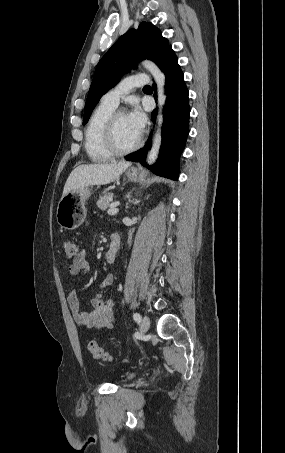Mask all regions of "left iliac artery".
I'll return each instance as SVG.
<instances>
[{
  "mask_svg": "<svg viewBox=\"0 0 285 453\" xmlns=\"http://www.w3.org/2000/svg\"><path fill=\"white\" fill-rule=\"evenodd\" d=\"M133 319L136 321V322H140L141 321V316L139 313H134L133 314Z\"/></svg>",
  "mask_w": 285,
  "mask_h": 453,
  "instance_id": "44dca946",
  "label": "left iliac artery"
}]
</instances>
